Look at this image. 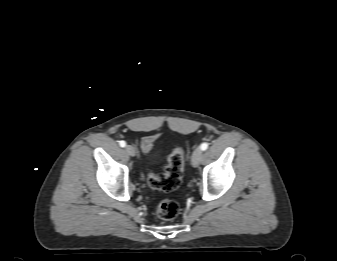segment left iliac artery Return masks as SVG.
Returning <instances> with one entry per match:
<instances>
[{
  "instance_id": "1",
  "label": "left iliac artery",
  "mask_w": 337,
  "mask_h": 261,
  "mask_svg": "<svg viewBox=\"0 0 337 261\" xmlns=\"http://www.w3.org/2000/svg\"><path fill=\"white\" fill-rule=\"evenodd\" d=\"M201 150H206L208 148V143H202L200 146Z\"/></svg>"
}]
</instances>
